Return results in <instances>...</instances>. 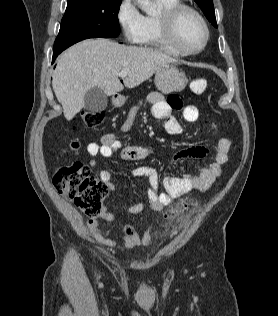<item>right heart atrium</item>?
<instances>
[{"mask_svg":"<svg viewBox=\"0 0 278 316\" xmlns=\"http://www.w3.org/2000/svg\"><path fill=\"white\" fill-rule=\"evenodd\" d=\"M116 19L124 39L130 43H137L142 32L143 15L134 0H120Z\"/></svg>","mask_w":278,"mask_h":316,"instance_id":"d8ad5b80","label":"right heart atrium"}]
</instances>
